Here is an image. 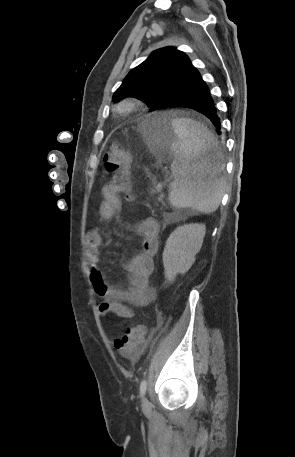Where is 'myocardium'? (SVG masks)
Wrapping results in <instances>:
<instances>
[{"label":"myocardium","instance_id":"f54148a6","mask_svg":"<svg viewBox=\"0 0 295 457\" xmlns=\"http://www.w3.org/2000/svg\"><path fill=\"white\" fill-rule=\"evenodd\" d=\"M139 107V102L135 98H126L116 105V111L122 115H129L136 111Z\"/></svg>","mask_w":295,"mask_h":457}]
</instances>
